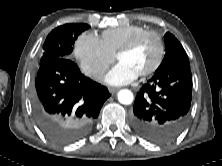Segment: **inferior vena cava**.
I'll return each mask as SVG.
<instances>
[{
	"mask_svg": "<svg viewBox=\"0 0 222 166\" xmlns=\"http://www.w3.org/2000/svg\"><path fill=\"white\" fill-rule=\"evenodd\" d=\"M104 69H101V70H96L92 73V76L96 79H101L103 74H104Z\"/></svg>",
	"mask_w": 222,
	"mask_h": 166,
	"instance_id": "obj_1",
	"label": "inferior vena cava"
}]
</instances>
